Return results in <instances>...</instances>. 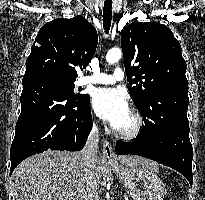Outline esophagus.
I'll use <instances>...</instances> for the list:
<instances>
[{
  "label": "esophagus",
  "mask_w": 205,
  "mask_h": 200,
  "mask_svg": "<svg viewBox=\"0 0 205 200\" xmlns=\"http://www.w3.org/2000/svg\"><path fill=\"white\" fill-rule=\"evenodd\" d=\"M103 155L108 161H115L116 156L113 153L112 146L108 140L103 141Z\"/></svg>",
  "instance_id": "34e87169"
}]
</instances>
